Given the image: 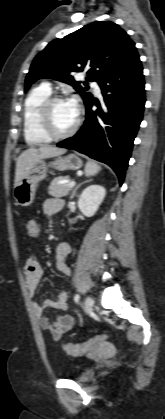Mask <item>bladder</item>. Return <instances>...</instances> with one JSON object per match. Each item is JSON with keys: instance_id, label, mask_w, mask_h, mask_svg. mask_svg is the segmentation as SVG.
<instances>
[{"instance_id": "bladder-1", "label": "bladder", "mask_w": 165, "mask_h": 419, "mask_svg": "<svg viewBox=\"0 0 165 419\" xmlns=\"http://www.w3.org/2000/svg\"><path fill=\"white\" fill-rule=\"evenodd\" d=\"M95 375L96 372L93 369H85L78 374L77 380L80 382H89L95 377Z\"/></svg>"}]
</instances>
